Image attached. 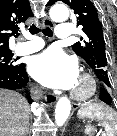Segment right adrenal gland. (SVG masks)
Returning <instances> with one entry per match:
<instances>
[{
  "label": "right adrenal gland",
  "instance_id": "right-adrenal-gland-1",
  "mask_svg": "<svg viewBox=\"0 0 117 136\" xmlns=\"http://www.w3.org/2000/svg\"><path fill=\"white\" fill-rule=\"evenodd\" d=\"M28 135V129L26 130V132H25V136H27Z\"/></svg>",
  "mask_w": 117,
  "mask_h": 136
}]
</instances>
